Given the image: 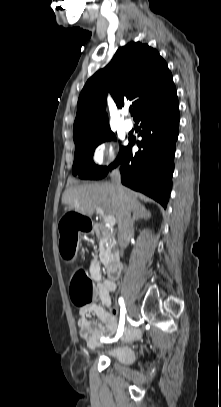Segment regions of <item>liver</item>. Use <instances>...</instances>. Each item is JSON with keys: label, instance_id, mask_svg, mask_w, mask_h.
Wrapping results in <instances>:
<instances>
[{"label": "liver", "instance_id": "6515ba94", "mask_svg": "<svg viewBox=\"0 0 221 407\" xmlns=\"http://www.w3.org/2000/svg\"><path fill=\"white\" fill-rule=\"evenodd\" d=\"M123 189L131 211L149 218L150 215L148 216L147 210L139 203L137 194L128 188ZM62 203L86 216H92L95 210L100 207L106 214L114 216L117 222L120 220L122 205L118 198L117 188L112 182L70 187L64 191Z\"/></svg>", "mask_w": 221, "mask_h": 407}]
</instances>
